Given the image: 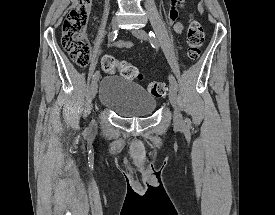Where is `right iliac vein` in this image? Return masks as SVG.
Returning a JSON list of instances; mask_svg holds the SVG:
<instances>
[{"mask_svg": "<svg viewBox=\"0 0 275 215\" xmlns=\"http://www.w3.org/2000/svg\"><path fill=\"white\" fill-rule=\"evenodd\" d=\"M118 25H119V22L117 19H114L112 21V28L115 30L118 28ZM97 80H94L92 82V85H91V88H90V96H91V99H94L96 97V94H97Z\"/></svg>", "mask_w": 275, "mask_h": 215, "instance_id": "obj_1", "label": "right iliac vein"}]
</instances>
